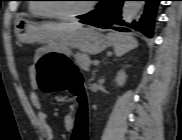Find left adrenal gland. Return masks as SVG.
<instances>
[{"label": "left adrenal gland", "instance_id": "a2214340", "mask_svg": "<svg viewBox=\"0 0 182 140\" xmlns=\"http://www.w3.org/2000/svg\"><path fill=\"white\" fill-rule=\"evenodd\" d=\"M97 72V69L96 70H94L93 71V73H92V80L94 79V77H95V73Z\"/></svg>", "mask_w": 182, "mask_h": 140}]
</instances>
